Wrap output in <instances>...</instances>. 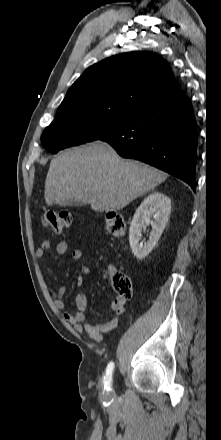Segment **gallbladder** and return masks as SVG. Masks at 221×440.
<instances>
[{
	"mask_svg": "<svg viewBox=\"0 0 221 440\" xmlns=\"http://www.w3.org/2000/svg\"><path fill=\"white\" fill-rule=\"evenodd\" d=\"M87 202L80 201V200H74V199H66L62 200L58 203L59 206H83L86 205Z\"/></svg>",
	"mask_w": 221,
	"mask_h": 440,
	"instance_id": "bac80fb5",
	"label": "gallbladder"
}]
</instances>
